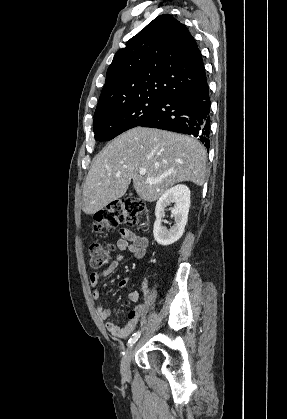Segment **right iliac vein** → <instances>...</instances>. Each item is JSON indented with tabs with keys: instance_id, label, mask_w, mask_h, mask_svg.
Wrapping results in <instances>:
<instances>
[{
	"instance_id": "right-iliac-vein-1",
	"label": "right iliac vein",
	"mask_w": 287,
	"mask_h": 419,
	"mask_svg": "<svg viewBox=\"0 0 287 419\" xmlns=\"http://www.w3.org/2000/svg\"><path fill=\"white\" fill-rule=\"evenodd\" d=\"M134 345L130 346L121 362V373L124 377L130 375V362L134 354Z\"/></svg>"
}]
</instances>
